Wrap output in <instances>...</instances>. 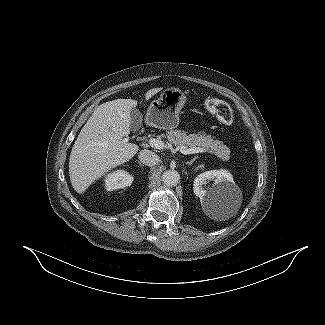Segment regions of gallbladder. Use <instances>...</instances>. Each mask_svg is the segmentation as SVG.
Instances as JSON below:
<instances>
[{"instance_id": "obj_1", "label": "gallbladder", "mask_w": 325, "mask_h": 325, "mask_svg": "<svg viewBox=\"0 0 325 325\" xmlns=\"http://www.w3.org/2000/svg\"><path fill=\"white\" fill-rule=\"evenodd\" d=\"M130 117H131V126L130 128L133 131H138L141 127L142 123V115L139 112V110L133 108L130 112Z\"/></svg>"}]
</instances>
